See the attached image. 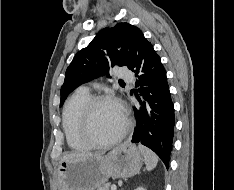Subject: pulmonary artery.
<instances>
[{
    "label": "pulmonary artery",
    "instance_id": "obj_1",
    "mask_svg": "<svg viewBox=\"0 0 234 190\" xmlns=\"http://www.w3.org/2000/svg\"><path fill=\"white\" fill-rule=\"evenodd\" d=\"M117 71H118V76L121 78L128 79L131 77L129 72H128V69H126V68L118 67ZM79 90L84 91V92H88V89L86 87H81Z\"/></svg>",
    "mask_w": 234,
    "mask_h": 190
}]
</instances>
